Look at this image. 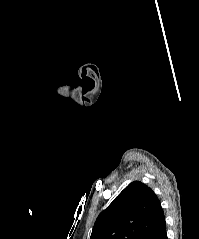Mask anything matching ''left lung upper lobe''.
Instances as JSON below:
<instances>
[{"label":"left lung upper lobe","mask_w":199,"mask_h":239,"mask_svg":"<svg viewBox=\"0 0 199 239\" xmlns=\"http://www.w3.org/2000/svg\"><path fill=\"white\" fill-rule=\"evenodd\" d=\"M162 214L152 189L134 181L99 214L90 239H149Z\"/></svg>","instance_id":"1"}]
</instances>
